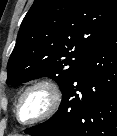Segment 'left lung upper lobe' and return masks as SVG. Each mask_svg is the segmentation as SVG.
I'll return each instance as SVG.
<instances>
[{"mask_svg": "<svg viewBox=\"0 0 117 136\" xmlns=\"http://www.w3.org/2000/svg\"><path fill=\"white\" fill-rule=\"evenodd\" d=\"M116 23L117 0H35L21 23L6 83L49 77L63 91Z\"/></svg>", "mask_w": 117, "mask_h": 136, "instance_id": "5c2ea615", "label": "left lung upper lobe"}]
</instances>
